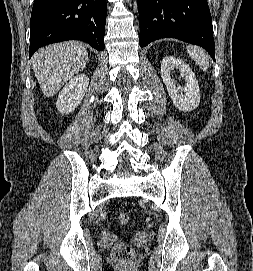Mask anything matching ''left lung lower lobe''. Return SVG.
Segmentation results:
<instances>
[{
  "mask_svg": "<svg viewBox=\"0 0 253 271\" xmlns=\"http://www.w3.org/2000/svg\"><path fill=\"white\" fill-rule=\"evenodd\" d=\"M141 47L176 38L203 47L215 61L213 26L207 0H137Z\"/></svg>",
  "mask_w": 253,
  "mask_h": 271,
  "instance_id": "0a47b994",
  "label": "left lung lower lobe"
}]
</instances>
